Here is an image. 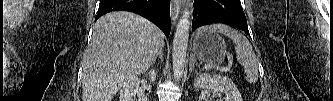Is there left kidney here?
Listing matches in <instances>:
<instances>
[{
    "label": "left kidney",
    "instance_id": "left-kidney-1",
    "mask_svg": "<svg viewBox=\"0 0 333 101\" xmlns=\"http://www.w3.org/2000/svg\"><path fill=\"white\" fill-rule=\"evenodd\" d=\"M194 87L206 90H213L215 95L224 94V101H242L241 94L228 77L209 74H198L194 80Z\"/></svg>",
    "mask_w": 333,
    "mask_h": 101
}]
</instances>
